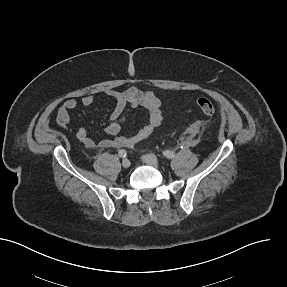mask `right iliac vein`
Wrapping results in <instances>:
<instances>
[{
    "label": "right iliac vein",
    "mask_w": 287,
    "mask_h": 287,
    "mask_svg": "<svg viewBox=\"0 0 287 287\" xmlns=\"http://www.w3.org/2000/svg\"><path fill=\"white\" fill-rule=\"evenodd\" d=\"M130 165H131V162H130L129 159L125 158V159L122 160V166H123L124 168H129Z\"/></svg>",
    "instance_id": "63e3f726"
}]
</instances>
